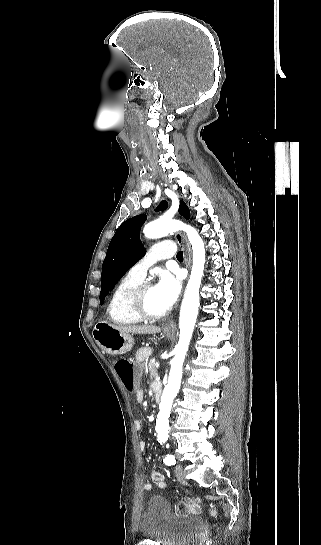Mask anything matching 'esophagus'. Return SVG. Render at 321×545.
Returning a JSON list of instances; mask_svg holds the SVG:
<instances>
[{
	"label": "esophagus",
	"instance_id": "1",
	"mask_svg": "<svg viewBox=\"0 0 321 545\" xmlns=\"http://www.w3.org/2000/svg\"><path fill=\"white\" fill-rule=\"evenodd\" d=\"M176 241L183 245L184 248V262L188 270H190L191 266V248L188 243L187 237L184 234H181L180 232H177L175 234ZM175 327V324L173 322L166 323L165 329H173Z\"/></svg>",
	"mask_w": 321,
	"mask_h": 545
}]
</instances>
